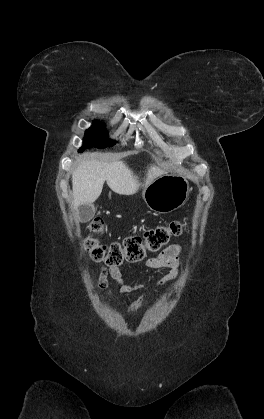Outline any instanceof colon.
<instances>
[{"instance_id":"1","label":"colon","mask_w":264,"mask_h":419,"mask_svg":"<svg viewBox=\"0 0 264 419\" xmlns=\"http://www.w3.org/2000/svg\"><path fill=\"white\" fill-rule=\"evenodd\" d=\"M91 232L99 234L104 231V221L96 218L90 225ZM183 231L180 221L157 225L147 229L143 235L128 236L121 242L102 244L95 237L85 240V249L90 257L97 262H104L114 268L124 262L140 261L147 252H158L167 245L172 237L179 236Z\"/></svg>"}]
</instances>
